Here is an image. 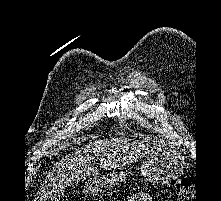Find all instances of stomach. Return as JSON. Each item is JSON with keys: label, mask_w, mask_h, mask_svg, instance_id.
I'll return each mask as SVG.
<instances>
[{"label": "stomach", "mask_w": 221, "mask_h": 201, "mask_svg": "<svg viewBox=\"0 0 221 201\" xmlns=\"http://www.w3.org/2000/svg\"><path fill=\"white\" fill-rule=\"evenodd\" d=\"M185 161L181 153L160 149L147 154L141 162V173L150 182L164 184L177 178L184 169ZM127 173H111L94 176L87 180L85 189L89 194L97 195L124 182Z\"/></svg>", "instance_id": "stomach-1"}]
</instances>
